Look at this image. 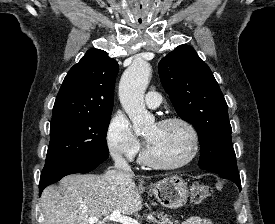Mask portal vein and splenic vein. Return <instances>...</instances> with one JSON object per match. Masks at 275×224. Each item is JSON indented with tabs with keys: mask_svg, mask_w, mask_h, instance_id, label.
<instances>
[{
	"mask_svg": "<svg viewBox=\"0 0 275 224\" xmlns=\"http://www.w3.org/2000/svg\"><path fill=\"white\" fill-rule=\"evenodd\" d=\"M104 220L113 221L120 224H139V222L131 217L122 215L118 210L113 211L109 215H105ZM89 224H95L99 221L98 217H91L88 220Z\"/></svg>",
	"mask_w": 275,
	"mask_h": 224,
	"instance_id": "18ae733b",
	"label": "portal vein and splenic vein"
}]
</instances>
